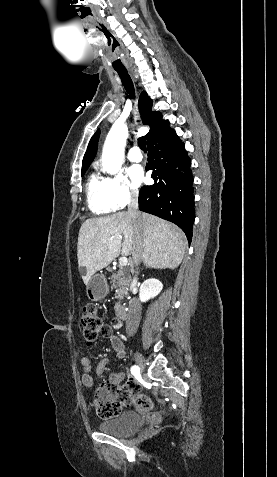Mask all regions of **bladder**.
<instances>
[{
  "label": "bladder",
  "mask_w": 277,
  "mask_h": 477,
  "mask_svg": "<svg viewBox=\"0 0 277 477\" xmlns=\"http://www.w3.org/2000/svg\"><path fill=\"white\" fill-rule=\"evenodd\" d=\"M143 424L138 412L124 411L119 415L99 423V430L114 436H125L137 431Z\"/></svg>",
  "instance_id": "obj_1"
}]
</instances>
